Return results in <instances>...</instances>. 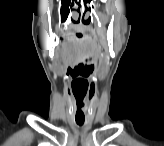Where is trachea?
<instances>
[{
  "label": "trachea",
  "mask_w": 164,
  "mask_h": 146,
  "mask_svg": "<svg viewBox=\"0 0 164 146\" xmlns=\"http://www.w3.org/2000/svg\"><path fill=\"white\" fill-rule=\"evenodd\" d=\"M77 124L81 126L83 125V122L77 121Z\"/></svg>",
  "instance_id": "trachea-1"
}]
</instances>
